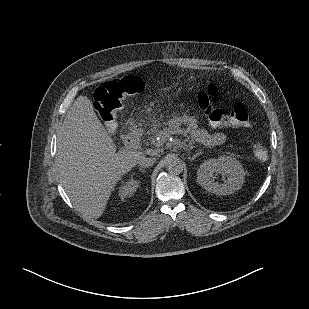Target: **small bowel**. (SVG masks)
I'll list each match as a JSON object with an SVG mask.
<instances>
[{
	"mask_svg": "<svg viewBox=\"0 0 309 309\" xmlns=\"http://www.w3.org/2000/svg\"><path fill=\"white\" fill-rule=\"evenodd\" d=\"M185 123L190 136L199 143L215 146L222 144L226 140V136L222 132L210 133L203 128H199L193 118H186Z\"/></svg>",
	"mask_w": 309,
	"mask_h": 309,
	"instance_id": "c3829d8e",
	"label": "small bowel"
}]
</instances>
